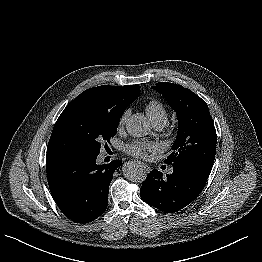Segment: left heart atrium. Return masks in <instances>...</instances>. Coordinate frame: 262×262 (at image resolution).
I'll use <instances>...</instances> for the list:
<instances>
[{
    "instance_id": "obj_1",
    "label": "left heart atrium",
    "mask_w": 262,
    "mask_h": 262,
    "mask_svg": "<svg viewBox=\"0 0 262 262\" xmlns=\"http://www.w3.org/2000/svg\"><path fill=\"white\" fill-rule=\"evenodd\" d=\"M156 149L154 144L141 141L132 142L124 147L128 154L138 158H145L148 152H154Z\"/></svg>"
}]
</instances>
